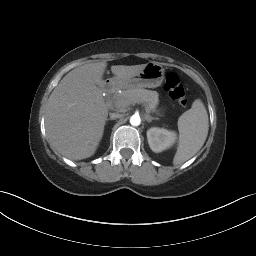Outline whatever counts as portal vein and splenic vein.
Returning a JSON list of instances; mask_svg holds the SVG:
<instances>
[{
    "instance_id": "obj_1",
    "label": "portal vein and splenic vein",
    "mask_w": 256,
    "mask_h": 256,
    "mask_svg": "<svg viewBox=\"0 0 256 256\" xmlns=\"http://www.w3.org/2000/svg\"><path fill=\"white\" fill-rule=\"evenodd\" d=\"M143 106L145 107L146 112H147V113H150L149 108H148V107H146L145 105H143Z\"/></svg>"
}]
</instances>
